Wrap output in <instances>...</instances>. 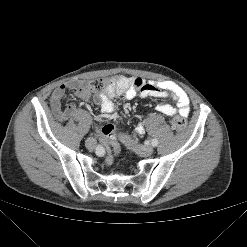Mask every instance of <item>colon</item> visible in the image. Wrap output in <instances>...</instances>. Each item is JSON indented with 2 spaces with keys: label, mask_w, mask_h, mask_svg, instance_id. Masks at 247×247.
I'll list each match as a JSON object with an SVG mask.
<instances>
[{
  "label": "colon",
  "mask_w": 247,
  "mask_h": 247,
  "mask_svg": "<svg viewBox=\"0 0 247 247\" xmlns=\"http://www.w3.org/2000/svg\"><path fill=\"white\" fill-rule=\"evenodd\" d=\"M86 87L94 93H102L105 88V81L102 78H97L86 83ZM172 127L177 132H181L186 127V119L182 116H175L172 121ZM114 133V129L112 126L108 125L103 128L104 136H111Z\"/></svg>",
  "instance_id": "colon-1"
}]
</instances>
